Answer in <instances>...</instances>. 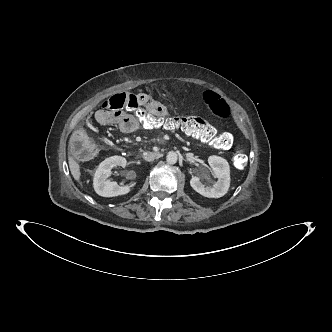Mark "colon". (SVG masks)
I'll return each mask as SVG.
<instances>
[{"mask_svg":"<svg viewBox=\"0 0 332 332\" xmlns=\"http://www.w3.org/2000/svg\"><path fill=\"white\" fill-rule=\"evenodd\" d=\"M199 100L207 107L212 116L225 121L230 118L232 109L218 92L211 88L201 91ZM102 109L129 110L138 116L141 127L156 132L159 128L167 130H181L198 140L210 143L219 149H227L232 145L233 138L229 132H219L205 119L193 116H169L167 119L154 117L144 110L138 103L136 95L120 93L111 96L102 104ZM71 149L74 155L81 159H89L94 155V149L84 133H79L71 141ZM247 163V156L242 147H238L233 156V164L237 169L243 168Z\"/></svg>","mask_w":332,"mask_h":332,"instance_id":"colon-1","label":"colon"}]
</instances>
